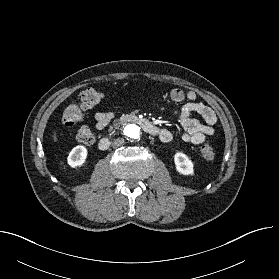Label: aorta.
I'll return each mask as SVG.
<instances>
[{
    "label": "aorta",
    "instance_id": "762f6f07",
    "mask_svg": "<svg viewBox=\"0 0 279 279\" xmlns=\"http://www.w3.org/2000/svg\"><path fill=\"white\" fill-rule=\"evenodd\" d=\"M124 135L131 140H136L140 137V128L135 124H128L124 127Z\"/></svg>",
    "mask_w": 279,
    "mask_h": 279
}]
</instances>
